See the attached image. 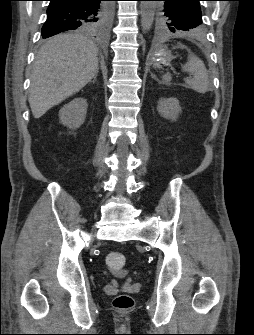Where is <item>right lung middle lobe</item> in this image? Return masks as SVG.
Returning <instances> with one entry per match:
<instances>
[{"label": "right lung middle lobe", "mask_w": 254, "mask_h": 335, "mask_svg": "<svg viewBox=\"0 0 254 335\" xmlns=\"http://www.w3.org/2000/svg\"><path fill=\"white\" fill-rule=\"evenodd\" d=\"M109 12H110V7L108 5L102 6L100 17L98 21L96 22V25L90 31H97V30H101L104 27H106L108 20H109ZM82 31H86V30H82Z\"/></svg>", "instance_id": "obj_1"}]
</instances>
